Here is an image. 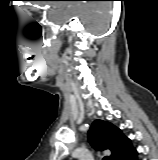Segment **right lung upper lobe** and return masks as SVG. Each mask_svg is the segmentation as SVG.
Listing matches in <instances>:
<instances>
[{"label": "right lung upper lobe", "instance_id": "1", "mask_svg": "<svg viewBox=\"0 0 158 160\" xmlns=\"http://www.w3.org/2000/svg\"><path fill=\"white\" fill-rule=\"evenodd\" d=\"M88 139L96 150L111 152L106 160H120L132 148L130 139L125 137L120 129L102 120L93 122L88 132Z\"/></svg>", "mask_w": 158, "mask_h": 160}]
</instances>
